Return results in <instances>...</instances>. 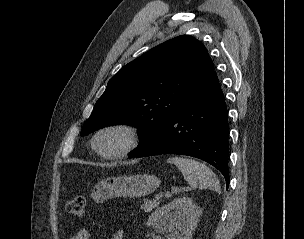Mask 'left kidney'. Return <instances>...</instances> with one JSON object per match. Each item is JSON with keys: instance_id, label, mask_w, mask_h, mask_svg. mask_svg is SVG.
Listing matches in <instances>:
<instances>
[{"instance_id": "obj_1", "label": "left kidney", "mask_w": 304, "mask_h": 239, "mask_svg": "<svg viewBox=\"0 0 304 239\" xmlns=\"http://www.w3.org/2000/svg\"><path fill=\"white\" fill-rule=\"evenodd\" d=\"M173 211V212H171ZM200 209L191 198H177L149 216L147 225L167 234V239H191Z\"/></svg>"}]
</instances>
